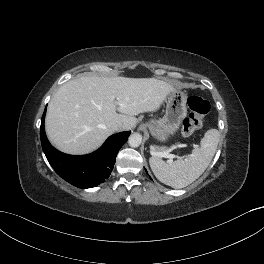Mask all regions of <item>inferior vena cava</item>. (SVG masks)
<instances>
[{"label":"inferior vena cava","instance_id":"inferior-vena-cava-1","mask_svg":"<svg viewBox=\"0 0 264 264\" xmlns=\"http://www.w3.org/2000/svg\"><path fill=\"white\" fill-rule=\"evenodd\" d=\"M112 127L114 131H119V130H122L124 126L122 123H116Z\"/></svg>","mask_w":264,"mask_h":264}]
</instances>
